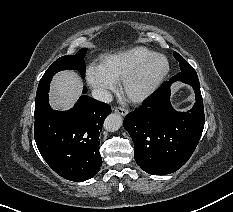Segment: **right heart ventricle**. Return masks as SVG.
I'll return each mask as SVG.
<instances>
[{
  "mask_svg": "<svg viewBox=\"0 0 233 212\" xmlns=\"http://www.w3.org/2000/svg\"><path fill=\"white\" fill-rule=\"evenodd\" d=\"M155 54L154 51L135 46L103 57L101 66L114 80L120 81L140 62Z\"/></svg>",
  "mask_w": 233,
  "mask_h": 212,
  "instance_id": "e07e8e85",
  "label": "right heart ventricle"
}]
</instances>
